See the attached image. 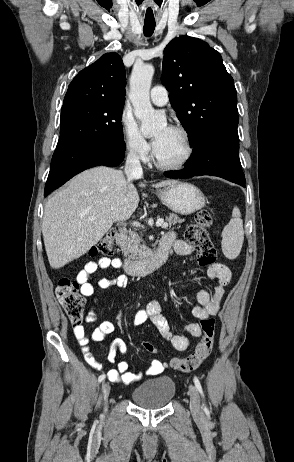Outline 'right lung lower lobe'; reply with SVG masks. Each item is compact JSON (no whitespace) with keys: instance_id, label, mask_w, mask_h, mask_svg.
Listing matches in <instances>:
<instances>
[{"instance_id":"98d812e1","label":"right lung lower lobe","mask_w":294,"mask_h":462,"mask_svg":"<svg viewBox=\"0 0 294 462\" xmlns=\"http://www.w3.org/2000/svg\"><path fill=\"white\" fill-rule=\"evenodd\" d=\"M124 155L125 142L116 139L72 142L56 148L44 196L85 169L99 165L118 166Z\"/></svg>"}]
</instances>
